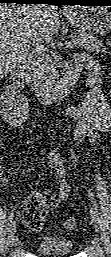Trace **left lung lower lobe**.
<instances>
[{"mask_svg": "<svg viewBox=\"0 0 111 257\" xmlns=\"http://www.w3.org/2000/svg\"><path fill=\"white\" fill-rule=\"evenodd\" d=\"M70 2H74L76 4H104V5H111V0H69Z\"/></svg>", "mask_w": 111, "mask_h": 257, "instance_id": "1", "label": "left lung lower lobe"}]
</instances>
